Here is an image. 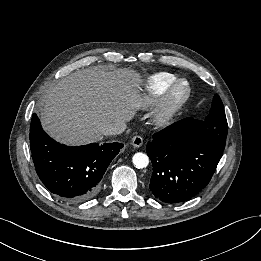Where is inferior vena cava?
Instances as JSON below:
<instances>
[{
	"label": "inferior vena cava",
	"mask_w": 261,
	"mask_h": 261,
	"mask_svg": "<svg viewBox=\"0 0 261 261\" xmlns=\"http://www.w3.org/2000/svg\"><path fill=\"white\" fill-rule=\"evenodd\" d=\"M126 124L124 122H114L108 125H105L101 129L103 135H118L125 131Z\"/></svg>",
	"instance_id": "inferior-vena-cava-1"
}]
</instances>
